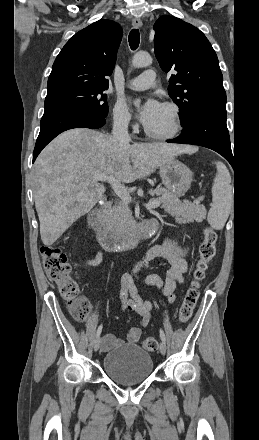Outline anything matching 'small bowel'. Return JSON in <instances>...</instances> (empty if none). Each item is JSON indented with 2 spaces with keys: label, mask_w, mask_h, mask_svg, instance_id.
Segmentation results:
<instances>
[{
  "label": "small bowel",
  "mask_w": 259,
  "mask_h": 440,
  "mask_svg": "<svg viewBox=\"0 0 259 440\" xmlns=\"http://www.w3.org/2000/svg\"><path fill=\"white\" fill-rule=\"evenodd\" d=\"M188 247L178 244L173 238H166L162 244L149 248L141 261H139L131 273L125 274L121 280L120 298L121 307L125 312H133L140 318V327H132L124 338H117L111 333H106L102 337L101 349L108 351L123 344H136L141 336V327L148 326L151 318L153 304L143 300L135 287V282L140 281L145 286H155L167 297L169 303L174 302L175 290L178 284H184L186 274L189 272V264L186 256ZM163 259L170 268L164 278L157 274H151L143 279H139L137 273L149 261ZM101 260V253L98 252L94 259L85 258V263L89 266L97 265Z\"/></svg>",
  "instance_id": "small-bowel-1"
}]
</instances>
